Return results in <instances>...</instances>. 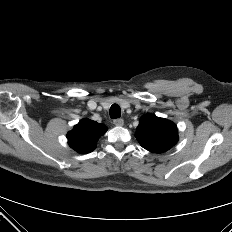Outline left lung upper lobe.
I'll return each mask as SVG.
<instances>
[{
	"instance_id": "5c2ea615",
	"label": "left lung upper lobe",
	"mask_w": 232,
	"mask_h": 232,
	"mask_svg": "<svg viewBox=\"0 0 232 232\" xmlns=\"http://www.w3.org/2000/svg\"><path fill=\"white\" fill-rule=\"evenodd\" d=\"M135 136L143 148L154 153H163L178 141L176 125L152 114L140 118Z\"/></svg>"
}]
</instances>
